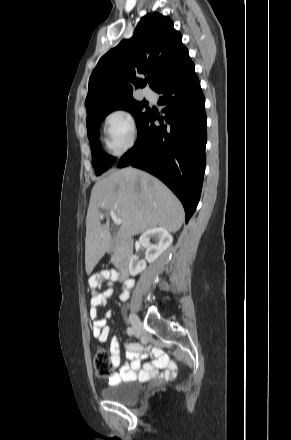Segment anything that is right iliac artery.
<instances>
[{"label": "right iliac artery", "mask_w": 291, "mask_h": 440, "mask_svg": "<svg viewBox=\"0 0 291 440\" xmlns=\"http://www.w3.org/2000/svg\"><path fill=\"white\" fill-rule=\"evenodd\" d=\"M127 333H128L129 336H132L133 335V328L128 327Z\"/></svg>", "instance_id": "82829eb1"}]
</instances>
